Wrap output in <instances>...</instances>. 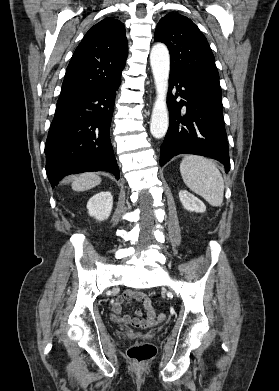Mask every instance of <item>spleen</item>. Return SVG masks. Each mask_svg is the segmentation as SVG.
Returning <instances> with one entry per match:
<instances>
[{
    "label": "spleen",
    "mask_w": 279,
    "mask_h": 391,
    "mask_svg": "<svg viewBox=\"0 0 279 391\" xmlns=\"http://www.w3.org/2000/svg\"><path fill=\"white\" fill-rule=\"evenodd\" d=\"M184 183L202 196L210 205L221 206L224 196V180L215 163L205 157L188 155L180 164Z\"/></svg>",
    "instance_id": "3e777b00"
}]
</instances>
